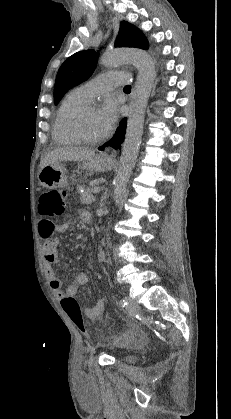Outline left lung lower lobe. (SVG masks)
<instances>
[{
	"label": "left lung lower lobe",
	"instance_id": "0a47b994",
	"mask_svg": "<svg viewBox=\"0 0 231 419\" xmlns=\"http://www.w3.org/2000/svg\"><path fill=\"white\" fill-rule=\"evenodd\" d=\"M125 130H126V118H124L120 122V127L117 129L116 134L114 135V137L109 142H107L103 146L99 147V150H103L104 147H106V146H111L115 149H118L120 144L124 140Z\"/></svg>",
	"mask_w": 231,
	"mask_h": 419
}]
</instances>
